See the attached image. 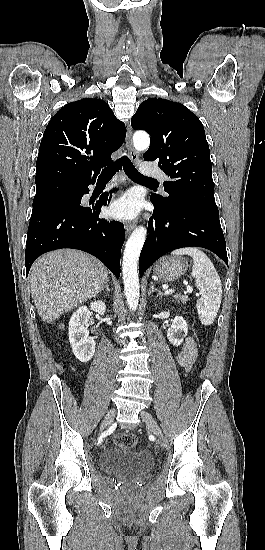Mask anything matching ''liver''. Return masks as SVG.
<instances>
[{
    "label": "liver",
    "instance_id": "6515ba94",
    "mask_svg": "<svg viewBox=\"0 0 265 550\" xmlns=\"http://www.w3.org/2000/svg\"><path fill=\"white\" fill-rule=\"evenodd\" d=\"M108 279V270L101 261L73 249L42 255L29 274L31 296L45 323H52L95 297Z\"/></svg>",
    "mask_w": 265,
    "mask_h": 550
}]
</instances>
